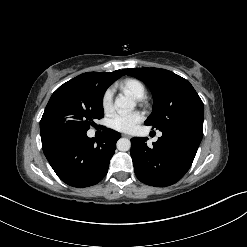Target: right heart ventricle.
I'll use <instances>...</instances> for the list:
<instances>
[{
  "mask_svg": "<svg viewBox=\"0 0 247 247\" xmlns=\"http://www.w3.org/2000/svg\"><path fill=\"white\" fill-rule=\"evenodd\" d=\"M120 87L123 91L130 94L131 96L141 99L145 95V87L139 80L135 78H128L125 79L121 84Z\"/></svg>",
  "mask_w": 247,
  "mask_h": 247,
  "instance_id": "obj_1",
  "label": "right heart ventricle"
}]
</instances>
